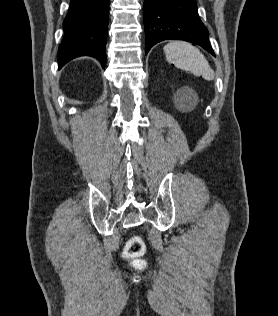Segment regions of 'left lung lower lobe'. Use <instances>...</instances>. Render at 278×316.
I'll list each match as a JSON object with an SVG mask.
<instances>
[{
	"label": "left lung lower lobe",
	"instance_id": "left-lung-lower-lobe-1",
	"mask_svg": "<svg viewBox=\"0 0 278 316\" xmlns=\"http://www.w3.org/2000/svg\"><path fill=\"white\" fill-rule=\"evenodd\" d=\"M145 53L163 40H184L215 56L195 0H144Z\"/></svg>",
	"mask_w": 278,
	"mask_h": 316
}]
</instances>
